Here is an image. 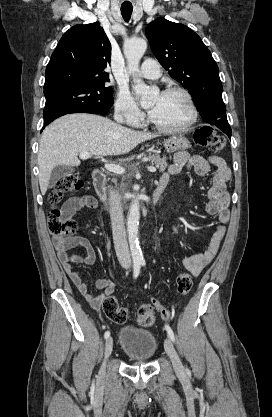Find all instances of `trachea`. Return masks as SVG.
Segmentation results:
<instances>
[{
    "mask_svg": "<svg viewBox=\"0 0 272 417\" xmlns=\"http://www.w3.org/2000/svg\"><path fill=\"white\" fill-rule=\"evenodd\" d=\"M132 6H121V14L123 19L128 22L131 18V14H132Z\"/></svg>",
    "mask_w": 272,
    "mask_h": 417,
    "instance_id": "1",
    "label": "trachea"
}]
</instances>
